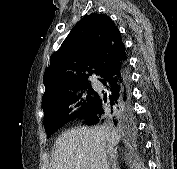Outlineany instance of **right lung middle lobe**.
I'll list each match as a JSON object with an SVG mask.
<instances>
[{
  "label": "right lung middle lobe",
  "instance_id": "dd1d6c3e",
  "mask_svg": "<svg viewBox=\"0 0 177 169\" xmlns=\"http://www.w3.org/2000/svg\"><path fill=\"white\" fill-rule=\"evenodd\" d=\"M95 95L96 91L88 83L76 87L58 101L43 106L45 112L44 126L47 137L67 122L83 116L93 104ZM73 103H76L75 107H78L77 113H70L72 109H69V105ZM126 124L127 122H121L118 127H123Z\"/></svg>",
  "mask_w": 177,
  "mask_h": 169
}]
</instances>
